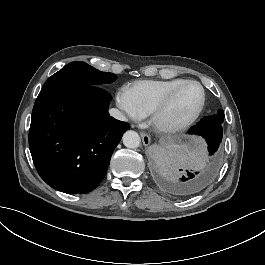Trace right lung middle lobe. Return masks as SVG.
<instances>
[{
	"label": "right lung middle lobe",
	"instance_id": "1",
	"mask_svg": "<svg viewBox=\"0 0 265 265\" xmlns=\"http://www.w3.org/2000/svg\"><path fill=\"white\" fill-rule=\"evenodd\" d=\"M117 78L113 73L101 72L84 62H72L52 75L43 89L54 87L100 86Z\"/></svg>",
	"mask_w": 265,
	"mask_h": 265
}]
</instances>
